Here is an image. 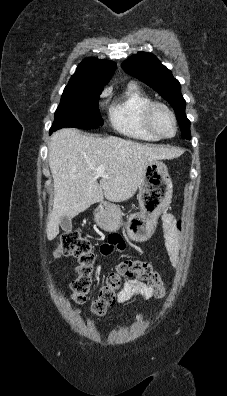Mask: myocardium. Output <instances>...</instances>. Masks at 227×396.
<instances>
[{"label":"myocardium","mask_w":227,"mask_h":396,"mask_svg":"<svg viewBox=\"0 0 227 396\" xmlns=\"http://www.w3.org/2000/svg\"><path fill=\"white\" fill-rule=\"evenodd\" d=\"M158 108L164 109L166 112H168V114L171 116V118L173 120L174 133L170 136L162 134L155 126L154 113H155L156 109H158ZM144 121H145L147 128L152 133H154L156 136H158L159 138H163V139L173 138L178 132V121H177V117H176L174 111L170 108V106H168L166 103L161 102V101H151L147 105V107L145 108V111H144Z\"/></svg>","instance_id":"obj_1"}]
</instances>
